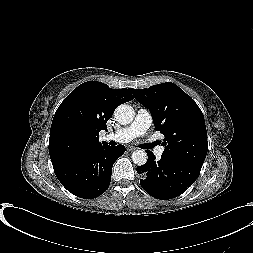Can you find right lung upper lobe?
I'll return each mask as SVG.
<instances>
[{
    "mask_svg": "<svg viewBox=\"0 0 253 253\" xmlns=\"http://www.w3.org/2000/svg\"><path fill=\"white\" fill-rule=\"evenodd\" d=\"M133 100L131 89H112L88 81L74 89L58 107L50 130L49 154L52 165L75 160L105 143L99 142L100 130L117 106Z\"/></svg>",
    "mask_w": 253,
    "mask_h": 253,
    "instance_id": "1",
    "label": "right lung upper lobe"
}]
</instances>
